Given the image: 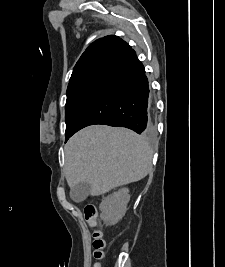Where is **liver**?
Here are the masks:
<instances>
[{"mask_svg":"<svg viewBox=\"0 0 225 267\" xmlns=\"http://www.w3.org/2000/svg\"><path fill=\"white\" fill-rule=\"evenodd\" d=\"M148 142L126 128L91 125L74 134L65 146V176L70 188L87 182L90 194L143 179L151 170Z\"/></svg>","mask_w":225,"mask_h":267,"instance_id":"6515ba94","label":"liver"}]
</instances>
